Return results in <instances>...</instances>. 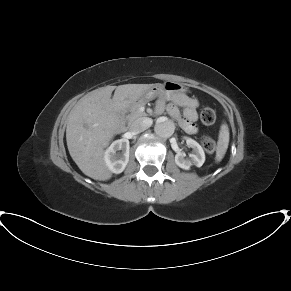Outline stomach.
Segmentation results:
<instances>
[{"mask_svg": "<svg viewBox=\"0 0 291 291\" xmlns=\"http://www.w3.org/2000/svg\"><path fill=\"white\" fill-rule=\"evenodd\" d=\"M177 89H180V85L178 83L171 82V81H167L164 84H154L146 92L143 99L147 101L154 98L155 96L159 94H165L166 96H169L171 93H173Z\"/></svg>", "mask_w": 291, "mask_h": 291, "instance_id": "0dacf381", "label": "stomach"}]
</instances>
